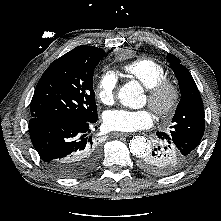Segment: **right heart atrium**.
Here are the masks:
<instances>
[{
    "instance_id": "obj_1",
    "label": "right heart atrium",
    "mask_w": 221,
    "mask_h": 221,
    "mask_svg": "<svg viewBox=\"0 0 221 221\" xmlns=\"http://www.w3.org/2000/svg\"><path fill=\"white\" fill-rule=\"evenodd\" d=\"M117 78L111 71H104L98 77L95 94L99 102L105 105L112 104L115 96Z\"/></svg>"
}]
</instances>
